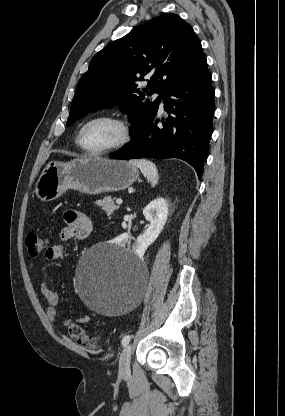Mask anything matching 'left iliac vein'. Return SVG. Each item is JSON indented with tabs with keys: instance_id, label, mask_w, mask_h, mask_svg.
I'll return each mask as SVG.
<instances>
[{
	"instance_id": "obj_1",
	"label": "left iliac vein",
	"mask_w": 285,
	"mask_h": 416,
	"mask_svg": "<svg viewBox=\"0 0 285 416\" xmlns=\"http://www.w3.org/2000/svg\"><path fill=\"white\" fill-rule=\"evenodd\" d=\"M130 358H131V346L127 345L120 356L119 360V375L125 376L130 374Z\"/></svg>"
}]
</instances>
